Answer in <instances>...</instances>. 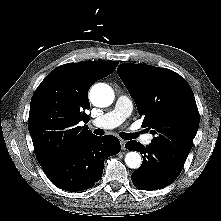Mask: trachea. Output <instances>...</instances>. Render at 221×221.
<instances>
[{
  "label": "trachea",
  "mask_w": 221,
  "mask_h": 221,
  "mask_svg": "<svg viewBox=\"0 0 221 221\" xmlns=\"http://www.w3.org/2000/svg\"><path fill=\"white\" fill-rule=\"evenodd\" d=\"M94 133H95L96 135H103V134H104V131H103L102 129H96V130L94 131ZM120 136H121L123 139H125V140H130V139H134V138L137 137V135L134 134V133H121Z\"/></svg>",
  "instance_id": "trachea-1"
}]
</instances>
